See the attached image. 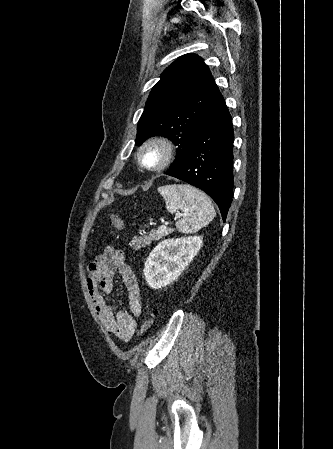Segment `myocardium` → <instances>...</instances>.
<instances>
[{"label":"myocardium","mask_w":333,"mask_h":449,"mask_svg":"<svg viewBox=\"0 0 333 449\" xmlns=\"http://www.w3.org/2000/svg\"><path fill=\"white\" fill-rule=\"evenodd\" d=\"M150 150L157 152L158 160L154 164L144 161V154ZM174 156V147L165 137H151L145 140L138 148L136 159L141 168L149 172H160L171 163Z\"/></svg>","instance_id":"1"}]
</instances>
